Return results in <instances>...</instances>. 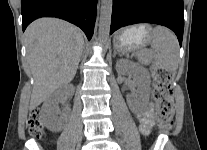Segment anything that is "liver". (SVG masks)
I'll return each instance as SVG.
<instances>
[{
	"label": "liver",
	"mask_w": 207,
	"mask_h": 150,
	"mask_svg": "<svg viewBox=\"0 0 207 150\" xmlns=\"http://www.w3.org/2000/svg\"><path fill=\"white\" fill-rule=\"evenodd\" d=\"M25 37L27 60L34 78L29 107L33 110L73 80L84 38L79 28L56 18L34 21L27 27Z\"/></svg>",
	"instance_id": "6515ba94"
}]
</instances>
